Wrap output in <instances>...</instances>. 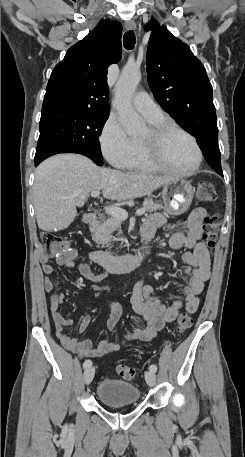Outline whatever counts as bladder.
Here are the masks:
<instances>
[{
    "label": "bladder",
    "mask_w": 245,
    "mask_h": 457,
    "mask_svg": "<svg viewBox=\"0 0 245 457\" xmlns=\"http://www.w3.org/2000/svg\"><path fill=\"white\" fill-rule=\"evenodd\" d=\"M96 396L105 405L138 403L140 391L135 385L118 379H101L96 388Z\"/></svg>",
    "instance_id": "bladder-1"
}]
</instances>
